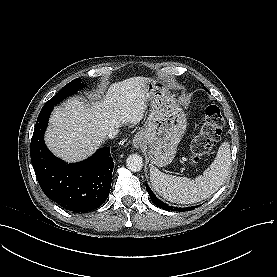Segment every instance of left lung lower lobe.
I'll use <instances>...</instances> for the list:
<instances>
[{
  "label": "left lung lower lobe",
  "instance_id": "1",
  "mask_svg": "<svg viewBox=\"0 0 277 277\" xmlns=\"http://www.w3.org/2000/svg\"><path fill=\"white\" fill-rule=\"evenodd\" d=\"M146 190L147 192L149 193L150 195V198L152 200V202L159 208H162L163 210H166V211H191L193 210L195 207H187V208H176V207H171V206H168L167 204H165L164 202H162L161 200H159L154 194L153 192L151 191L150 187L147 185L146 183Z\"/></svg>",
  "mask_w": 277,
  "mask_h": 277
}]
</instances>
